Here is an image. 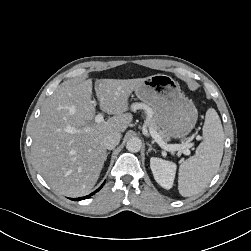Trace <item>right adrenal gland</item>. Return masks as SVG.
Returning a JSON list of instances; mask_svg holds the SVG:
<instances>
[{"instance_id": "obj_1", "label": "right adrenal gland", "mask_w": 251, "mask_h": 251, "mask_svg": "<svg viewBox=\"0 0 251 251\" xmlns=\"http://www.w3.org/2000/svg\"><path fill=\"white\" fill-rule=\"evenodd\" d=\"M110 152H107L106 153V155H105V161L107 160V157H108V154H109Z\"/></svg>"}]
</instances>
